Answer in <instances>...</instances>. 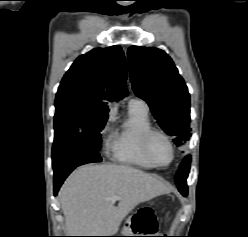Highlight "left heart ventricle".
Wrapping results in <instances>:
<instances>
[{"mask_svg": "<svg viewBox=\"0 0 248 237\" xmlns=\"http://www.w3.org/2000/svg\"><path fill=\"white\" fill-rule=\"evenodd\" d=\"M150 153L155 162L165 165L171 158L169 144L161 136H154L150 142Z\"/></svg>", "mask_w": 248, "mask_h": 237, "instance_id": "obj_1", "label": "left heart ventricle"}]
</instances>
